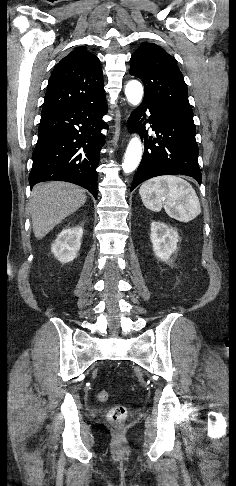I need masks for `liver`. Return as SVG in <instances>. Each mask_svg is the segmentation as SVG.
<instances>
[{
  "mask_svg": "<svg viewBox=\"0 0 236 486\" xmlns=\"http://www.w3.org/2000/svg\"><path fill=\"white\" fill-rule=\"evenodd\" d=\"M85 190L67 182L52 181L34 186L29 210L37 239L45 237L57 224L86 202Z\"/></svg>",
  "mask_w": 236,
  "mask_h": 486,
  "instance_id": "6515ba94",
  "label": "liver"
}]
</instances>
